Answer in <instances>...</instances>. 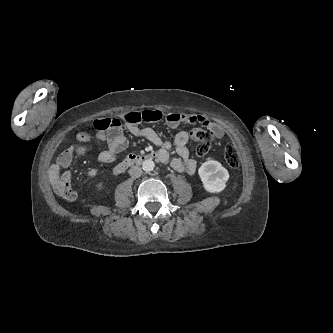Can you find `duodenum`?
<instances>
[{
    "instance_id": "410a0bca",
    "label": "duodenum",
    "mask_w": 333,
    "mask_h": 333,
    "mask_svg": "<svg viewBox=\"0 0 333 333\" xmlns=\"http://www.w3.org/2000/svg\"><path fill=\"white\" fill-rule=\"evenodd\" d=\"M150 159H159V155L157 152H151L147 154H130L120 163H118L114 168L115 174L124 173L129 167L140 164L146 160Z\"/></svg>"
}]
</instances>
